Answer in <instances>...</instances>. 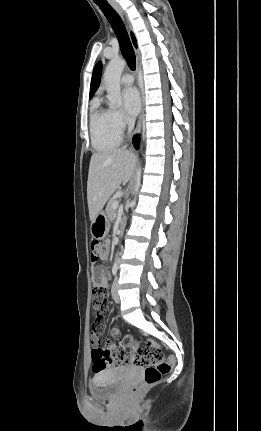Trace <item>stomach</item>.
Listing matches in <instances>:
<instances>
[{
    "label": "stomach",
    "instance_id": "obj_1",
    "mask_svg": "<svg viewBox=\"0 0 261 431\" xmlns=\"http://www.w3.org/2000/svg\"><path fill=\"white\" fill-rule=\"evenodd\" d=\"M110 229V221L104 211H100L91 222L90 231L93 238L103 239Z\"/></svg>",
    "mask_w": 261,
    "mask_h": 431
}]
</instances>
